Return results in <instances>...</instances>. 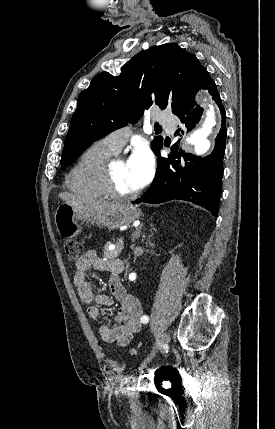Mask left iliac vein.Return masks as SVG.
I'll list each match as a JSON object with an SVG mask.
<instances>
[{
	"mask_svg": "<svg viewBox=\"0 0 275 429\" xmlns=\"http://www.w3.org/2000/svg\"><path fill=\"white\" fill-rule=\"evenodd\" d=\"M170 341H171V336H170V334L169 333H163L162 334V337H161V340H160V349H162V350H166L167 348H168V346H169V343H170ZM157 349H159L158 347H157ZM155 355V352L153 351L147 358H146V360L143 362V364H142V367L143 366H145V364L147 363V362H149L152 358H153V356Z\"/></svg>",
	"mask_w": 275,
	"mask_h": 429,
	"instance_id": "1",
	"label": "left iliac vein"
}]
</instances>
